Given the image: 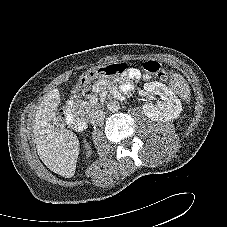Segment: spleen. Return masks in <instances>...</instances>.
<instances>
[{
    "instance_id": "1",
    "label": "spleen",
    "mask_w": 227,
    "mask_h": 227,
    "mask_svg": "<svg viewBox=\"0 0 227 227\" xmlns=\"http://www.w3.org/2000/svg\"><path fill=\"white\" fill-rule=\"evenodd\" d=\"M170 87L182 99L185 100L189 98L190 89L182 76L174 75L173 80L170 82Z\"/></svg>"
}]
</instances>
